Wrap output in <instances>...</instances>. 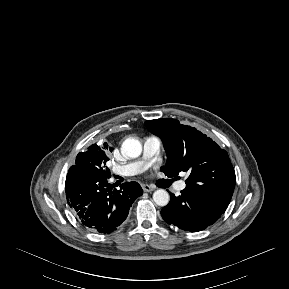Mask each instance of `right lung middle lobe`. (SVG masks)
I'll return each mask as SVG.
<instances>
[{
  "mask_svg": "<svg viewBox=\"0 0 289 289\" xmlns=\"http://www.w3.org/2000/svg\"><path fill=\"white\" fill-rule=\"evenodd\" d=\"M106 152L103 147L95 144L94 147L88 148L86 152L79 153L76 158V165L72 167L80 168L100 179H108L111 174L108 167H106V162L109 160Z\"/></svg>",
  "mask_w": 289,
  "mask_h": 289,
  "instance_id": "1",
  "label": "right lung middle lobe"
}]
</instances>
